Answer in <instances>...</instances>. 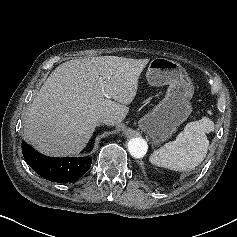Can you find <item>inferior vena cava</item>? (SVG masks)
<instances>
[{
  "instance_id": "obj_1",
  "label": "inferior vena cava",
  "mask_w": 237,
  "mask_h": 237,
  "mask_svg": "<svg viewBox=\"0 0 237 237\" xmlns=\"http://www.w3.org/2000/svg\"><path fill=\"white\" fill-rule=\"evenodd\" d=\"M113 122L112 118L109 117V116H104V115H101V116H97L95 118V123L98 125V124H111Z\"/></svg>"
}]
</instances>
